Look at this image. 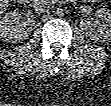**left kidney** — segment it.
<instances>
[{
  "instance_id": "obj_1",
  "label": "left kidney",
  "mask_w": 111,
  "mask_h": 106,
  "mask_svg": "<svg viewBox=\"0 0 111 106\" xmlns=\"http://www.w3.org/2000/svg\"><path fill=\"white\" fill-rule=\"evenodd\" d=\"M95 15L99 19V22L96 24H92L87 20L81 22L86 36L95 41L111 39V11L107 8H100Z\"/></svg>"
}]
</instances>
